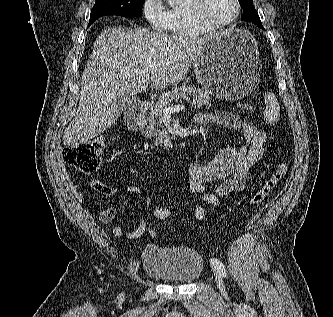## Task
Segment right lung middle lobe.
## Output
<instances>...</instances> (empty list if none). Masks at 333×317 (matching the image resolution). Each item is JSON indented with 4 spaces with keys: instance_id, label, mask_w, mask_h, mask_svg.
<instances>
[{
    "instance_id": "obj_1",
    "label": "right lung middle lobe",
    "mask_w": 333,
    "mask_h": 317,
    "mask_svg": "<svg viewBox=\"0 0 333 317\" xmlns=\"http://www.w3.org/2000/svg\"><path fill=\"white\" fill-rule=\"evenodd\" d=\"M145 0H96L90 14L89 25L106 15L140 16Z\"/></svg>"
}]
</instances>
